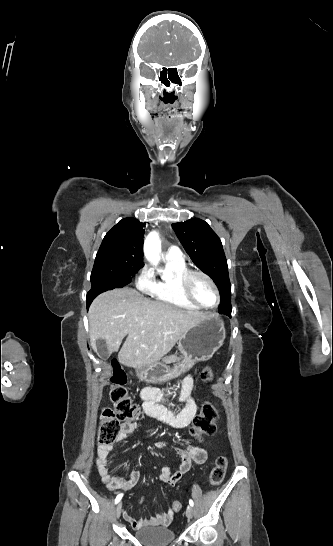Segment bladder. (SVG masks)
Returning <instances> with one entry per match:
<instances>
[{
  "mask_svg": "<svg viewBox=\"0 0 333 546\" xmlns=\"http://www.w3.org/2000/svg\"><path fill=\"white\" fill-rule=\"evenodd\" d=\"M134 537L144 546H167L176 537L175 532L163 526H150L134 532Z\"/></svg>",
  "mask_w": 333,
  "mask_h": 546,
  "instance_id": "bladder-1",
  "label": "bladder"
}]
</instances>
